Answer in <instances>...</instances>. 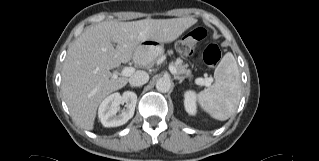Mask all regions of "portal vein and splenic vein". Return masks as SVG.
Returning a JSON list of instances; mask_svg holds the SVG:
<instances>
[{
    "mask_svg": "<svg viewBox=\"0 0 319 161\" xmlns=\"http://www.w3.org/2000/svg\"><path fill=\"white\" fill-rule=\"evenodd\" d=\"M169 70L172 74H176V68L173 65H169ZM135 69L133 67H125L122 72L121 75L128 77L130 75H132L134 73ZM115 76H117L116 74H114ZM196 84L198 85H205V86H209L211 84V80L210 78H197L195 80Z\"/></svg>",
    "mask_w": 319,
    "mask_h": 161,
    "instance_id": "portal-vein-and-splenic-vein-1",
    "label": "portal vein and splenic vein"
}]
</instances>
